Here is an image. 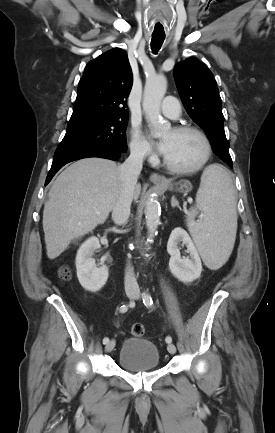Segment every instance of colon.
I'll list each match as a JSON object with an SVG mask.
<instances>
[{
	"instance_id": "1",
	"label": "colon",
	"mask_w": 275,
	"mask_h": 433,
	"mask_svg": "<svg viewBox=\"0 0 275 433\" xmlns=\"http://www.w3.org/2000/svg\"><path fill=\"white\" fill-rule=\"evenodd\" d=\"M71 275V271L68 267L66 266H62L59 268L58 270V277L63 280L66 281L70 278ZM131 333L133 336L135 337H142L145 333V327L143 324L141 323H135L132 325L131 327Z\"/></svg>"
}]
</instances>
